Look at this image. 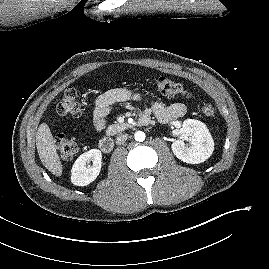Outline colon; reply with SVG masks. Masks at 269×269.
I'll use <instances>...</instances> for the list:
<instances>
[{
	"label": "colon",
	"instance_id": "colon-1",
	"mask_svg": "<svg viewBox=\"0 0 269 269\" xmlns=\"http://www.w3.org/2000/svg\"><path fill=\"white\" fill-rule=\"evenodd\" d=\"M153 84L164 95L190 97L189 92L178 82H175L164 76H154ZM200 113L207 118L215 115V108L211 103L205 102L199 106ZM57 112L62 116L79 117L82 114V107L79 102L78 92L75 88L69 87L65 90L63 96L57 104ZM56 147L61 158L65 161L72 160L79 150L78 142L59 134L55 140Z\"/></svg>",
	"mask_w": 269,
	"mask_h": 269
}]
</instances>
